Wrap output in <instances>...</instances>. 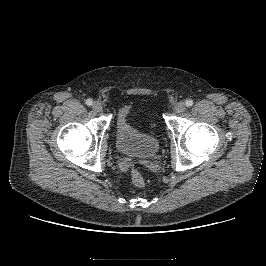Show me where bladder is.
<instances>
[{"label": "bladder", "instance_id": "bladder-1", "mask_svg": "<svg viewBox=\"0 0 266 266\" xmlns=\"http://www.w3.org/2000/svg\"><path fill=\"white\" fill-rule=\"evenodd\" d=\"M130 109L121 108L116 120V148L127 156L150 159L156 156L160 142L156 135L146 133L134 126L130 119Z\"/></svg>", "mask_w": 266, "mask_h": 266}]
</instances>
